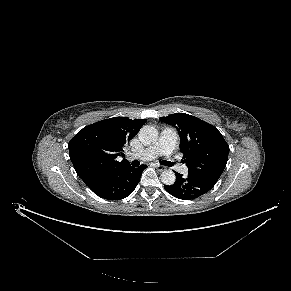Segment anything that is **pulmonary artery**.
<instances>
[{
    "label": "pulmonary artery",
    "mask_w": 291,
    "mask_h": 291,
    "mask_svg": "<svg viewBox=\"0 0 291 291\" xmlns=\"http://www.w3.org/2000/svg\"><path fill=\"white\" fill-rule=\"evenodd\" d=\"M178 140L177 132L173 128L162 130L158 141L137 155L142 160H151L158 156H165L180 172L187 173V167L174 162L171 157Z\"/></svg>",
    "instance_id": "obj_1"
}]
</instances>
